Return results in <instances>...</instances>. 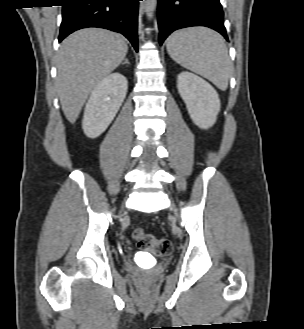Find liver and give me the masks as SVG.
Segmentation results:
<instances>
[{
    "label": "liver",
    "instance_id": "liver-1",
    "mask_svg": "<svg viewBox=\"0 0 304 329\" xmlns=\"http://www.w3.org/2000/svg\"><path fill=\"white\" fill-rule=\"evenodd\" d=\"M122 35L105 29H81L68 36L57 55V91L64 115L74 123L94 88L124 60Z\"/></svg>",
    "mask_w": 304,
    "mask_h": 329
}]
</instances>
